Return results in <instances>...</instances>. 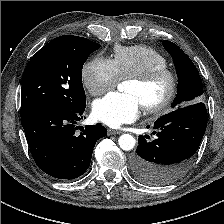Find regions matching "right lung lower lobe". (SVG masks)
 Segmentation results:
<instances>
[{
  "label": "right lung lower lobe",
  "instance_id": "obj_1",
  "mask_svg": "<svg viewBox=\"0 0 224 224\" xmlns=\"http://www.w3.org/2000/svg\"><path fill=\"white\" fill-rule=\"evenodd\" d=\"M85 106L41 109L21 118L34 161L46 174L71 180L88 169L96 141L106 136L107 130L98 124L86 126L80 135L75 132Z\"/></svg>",
  "mask_w": 224,
  "mask_h": 224
}]
</instances>
